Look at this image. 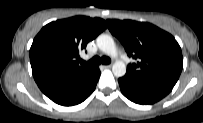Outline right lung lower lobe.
<instances>
[{"label":"right lung lower lobe","mask_w":203,"mask_h":123,"mask_svg":"<svg viewBox=\"0 0 203 123\" xmlns=\"http://www.w3.org/2000/svg\"><path fill=\"white\" fill-rule=\"evenodd\" d=\"M100 70L95 67L85 73L58 74L36 81L41 91L52 101L62 106L83 102L95 90Z\"/></svg>","instance_id":"right-lung-lower-lobe-1"}]
</instances>
